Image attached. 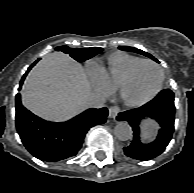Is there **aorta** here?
<instances>
[{
    "label": "aorta",
    "mask_w": 194,
    "mask_h": 193,
    "mask_svg": "<svg viewBox=\"0 0 194 193\" xmlns=\"http://www.w3.org/2000/svg\"><path fill=\"white\" fill-rule=\"evenodd\" d=\"M115 136L121 141H127L132 138L133 131L127 122H119L114 129Z\"/></svg>",
    "instance_id": "obj_1"
}]
</instances>
